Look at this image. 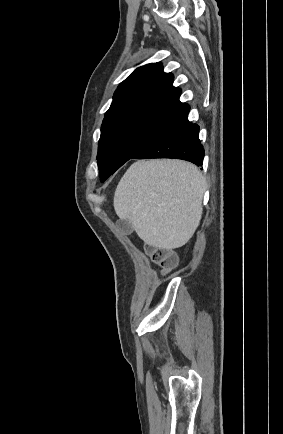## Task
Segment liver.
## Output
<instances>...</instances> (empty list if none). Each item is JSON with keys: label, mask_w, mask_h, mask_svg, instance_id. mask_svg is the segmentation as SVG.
Returning <instances> with one entry per match:
<instances>
[{"label": "liver", "mask_w": 283, "mask_h": 434, "mask_svg": "<svg viewBox=\"0 0 283 434\" xmlns=\"http://www.w3.org/2000/svg\"><path fill=\"white\" fill-rule=\"evenodd\" d=\"M206 181L181 160L133 163L117 185L114 209L149 246L173 250L185 245L202 217Z\"/></svg>", "instance_id": "1"}]
</instances>
